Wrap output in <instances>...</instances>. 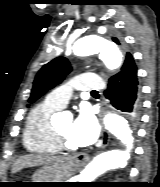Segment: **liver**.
Segmentation results:
<instances>
[{"instance_id":"1","label":"liver","mask_w":160,"mask_h":187,"mask_svg":"<svg viewBox=\"0 0 160 187\" xmlns=\"http://www.w3.org/2000/svg\"><path fill=\"white\" fill-rule=\"evenodd\" d=\"M63 159H64L63 157H56V156L49 157V156H41V155H33V154L25 155L18 158L14 162L12 167V173H16L22 170L23 168H27V167L51 165Z\"/></svg>"}]
</instances>
